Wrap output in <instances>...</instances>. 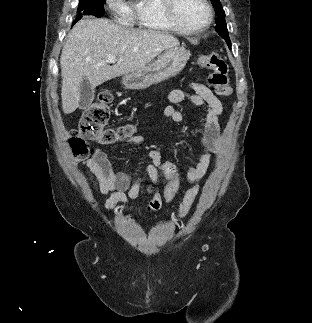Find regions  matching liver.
<instances>
[{
	"instance_id": "liver-1",
	"label": "liver",
	"mask_w": 312,
	"mask_h": 323,
	"mask_svg": "<svg viewBox=\"0 0 312 323\" xmlns=\"http://www.w3.org/2000/svg\"><path fill=\"white\" fill-rule=\"evenodd\" d=\"M171 46H179L172 34L123 28L106 18L79 20L68 34L60 58L64 114L79 108L82 80L94 90L112 78L145 68ZM108 56H116L114 66H109Z\"/></svg>"
}]
</instances>
